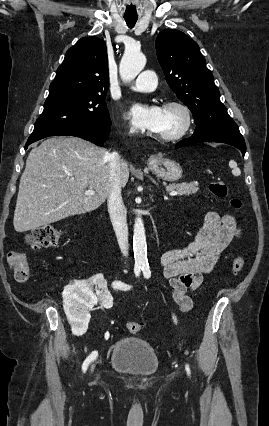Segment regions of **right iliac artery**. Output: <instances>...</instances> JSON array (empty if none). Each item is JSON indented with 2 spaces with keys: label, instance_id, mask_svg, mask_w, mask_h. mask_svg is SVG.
Wrapping results in <instances>:
<instances>
[{
  "label": "right iliac artery",
  "instance_id": "1",
  "mask_svg": "<svg viewBox=\"0 0 269 426\" xmlns=\"http://www.w3.org/2000/svg\"><path fill=\"white\" fill-rule=\"evenodd\" d=\"M135 275L139 276L140 275V267H135L134 269ZM113 286L119 289H124V290H129L130 286L124 284V283H119V282H113ZM98 356V352L97 351H93L83 362L82 364V370L85 373L89 364L96 359V357Z\"/></svg>",
  "mask_w": 269,
  "mask_h": 426
}]
</instances>
